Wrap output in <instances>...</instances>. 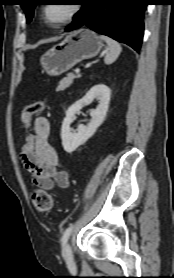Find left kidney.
<instances>
[{"instance_id": "left-kidney-1", "label": "left kidney", "mask_w": 174, "mask_h": 278, "mask_svg": "<svg viewBox=\"0 0 174 278\" xmlns=\"http://www.w3.org/2000/svg\"><path fill=\"white\" fill-rule=\"evenodd\" d=\"M110 96L111 90L109 87L98 84L93 86L82 99L76 101L67 109L61 128L62 145L66 152L72 153L96 132L108 111ZM94 98L98 100V106L90 112V122L86 126L79 125L76 133L71 132L70 124L73 122L75 114Z\"/></svg>"}]
</instances>
